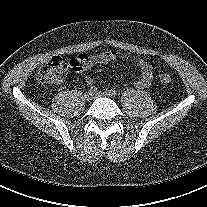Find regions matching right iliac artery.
I'll return each instance as SVG.
<instances>
[{
  "label": "right iliac artery",
  "mask_w": 207,
  "mask_h": 207,
  "mask_svg": "<svg viewBox=\"0 0 207 207\" xmlns=\"http://www.w3.org/2000/svg\"><path fill=\"white\" fill-rule=\"evenodd\" d=\"M89 91H90L91 93H96V92H97V88L94 87V86H92V87H90Z\"/></svg>",
  "instance_id": "1"
}]
</instances>
